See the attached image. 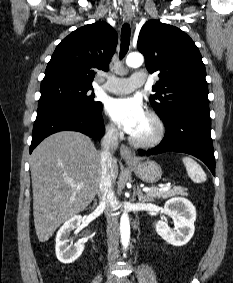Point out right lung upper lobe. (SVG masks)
Wrapping results in <instances>:
<instances>
[{
	"instance_id": "1",
	"label": "right lung upper lobe",
	"mask_w": 233,
	"mask_h": 283,
	"mask_svg": "<svg viewBox=\"0 0 233 283\" xmlns=\"http://www.w3.org/2000/svg\"><path fill=\"white\" fill-rule=\"evenodd\" d=\"M118 36L107 22L73 31L56 47L42 82L63 80L92 87L96 70H109Z\"/></svg>"
}]
</instances>
